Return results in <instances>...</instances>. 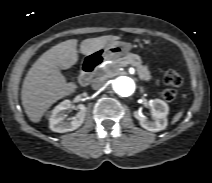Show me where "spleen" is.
Listing matches in <instances>:
<instances>
[{"label":"spleen","instance_id":"obj_1","mask_svg":"<svg viewBox=\"0 0 212 183\" xmlns=\"http://www.w3.org/2000/svg\"><path fill=\"white\" fill-rule=\"evenodd\" d=\"M182 115H183V111L178 112V113L174 116V118H173V120H172V124L176 123V122L182 117Z\"/></svg>","mask_w":212,"mask_h":183}]
</instances>
